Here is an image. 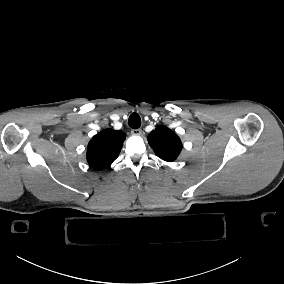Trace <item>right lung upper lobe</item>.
Here are the masks:
<instances>
[{
	"label": "right lung upper lobe",
	"instance_id": "obj_1",
	"mask_svg": "<svg viewBox=\"0 0 284 284\" xmlns=\"http://www.w3.org/2000/svg\"><path fill=\"white\" fill-rule=\"evenodd\" d=\"M126 135L120 130L104 129L95 135L87 148V161L95 170L108 168L118 157Z\"/></svg>",
	"mask_w": 284,
	"mask_h": 284
}]
</instances>
